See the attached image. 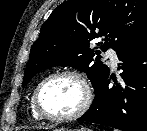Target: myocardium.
Listing matches in <instances>:
<instances>
[{"instance_id":"myocardium-1","label":"myocardium","mask_w":147,"mask_h":131,"mask_svg":"<svg viewBox=\"0 0 147 131\" xmlns=\"http://www.w3.org/2000/svg\"><path fill=\"white\" fill-rule=\"evenodd\" d=\"M62 76L74 77L80 81L85 93L84 102L78 110H76L75 112L69 115H52L46 112L41 104V100H40L41 92L43 87L50 80L57 77H62ZM92 100H93L92 89L86 76L80 71L73 70V69L60 70V71H56L49 74L38 83V85L36 86L33 92V105L36 112L42 119L52 121V122H68V121H72V120H76L80 118L89 110L92 104Z\"/></svg>"}]
</instances>
